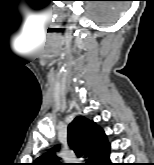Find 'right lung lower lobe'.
Returning <instances> with one entry per match:
<instances>
[{"instance_id":"obj_1","label":"right lung lower lobe","mask_w":154,"mask_h":165,"mask_svg":"<svg viewBox=\"0 0 154 165\" xmlns=\"http://www.w3.org/2000/svg\"><path fill=\"white\" fill-rule=\"evenodd\" d=\"M109 150H110V144L108 141H106L101 146V149L98 152L95 161L92 162L91 165H113V163L110 162Z\"/></svg>"}]
</instances>
